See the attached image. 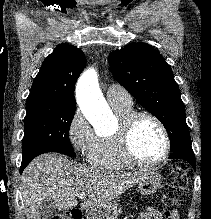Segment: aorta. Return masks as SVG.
<instances>
[{"mask_svg":"<svg viewBox=\"0 0 211 219\" xmlns=\"http://www.w3.org/2000/svg\"><path fill=\"white\" fill-rule=\"evenodd\" d=\"M76 98L83 115L95 126L96 132H100L98 125L108 121L112 113L101 94L94 69L81 75L76 87Z\"/></svg>","mask_w":211,"mask_h":219,"instance_id":"aorta-1","label":"aorta"}]
</instances>
